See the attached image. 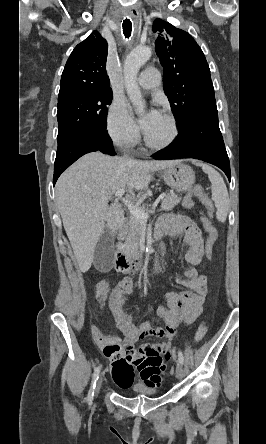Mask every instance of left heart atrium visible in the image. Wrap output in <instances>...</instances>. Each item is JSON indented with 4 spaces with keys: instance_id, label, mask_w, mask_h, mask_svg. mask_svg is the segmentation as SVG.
I'll return each mask as SVG.
<instances>
[{
    "instance_id": "obj_1",
    "label": "left heart atrium",
    "mask_w": 266,
    "mask_h": 444,
    "mask_svg": "<svg viewBox=\"0 0 266 444\" xmlns=\"http://www.w3.org/2000/svg\"><path fill=\"white\" fill-rule=\"evenodd\" d=\"M160 113L157 109H150L140 120L141 127L144 131H147L154 122L160 117Z\"/></svg>"
}]
</instances>
